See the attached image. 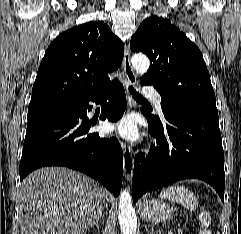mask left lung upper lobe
Masks as SVG:
<instances>
[{"label": "left lung upper lobe", "mask_w": 241, "mask_h": 234, "mask_svg": "<svg viewBox=\"0 0 241 234\" xmlns=\"http://www.w3.org/2000/svg\"><path fill=\"white\" fill-rule=\"evenodd\" d=\"M130 48L150 58L149 70L140 82L153 85L162 103L218 116L200 50L168 19L154 15L145 19L132 36Z\"/></svg>", "instance_id": "1"}]
</instances>
